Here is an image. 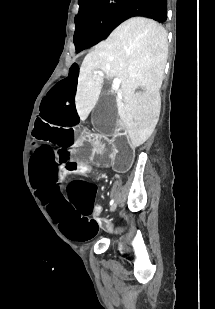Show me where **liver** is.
<instances>
[{
  "mask_svg": "<svg viewBox=\"0 0 215 309\" xmlns=\"http://www.w3.org/2000/svg\"><path fill=\"white\" fill-rule=\"evenodd\" d=\"M167 52V32L156 20L132 16L119 24L86 54L80 66L75 104L81 120H86L99 98L101 76L94 70H102L106 76L121 80L116 102L131 148L143 144L160 114L154 98L161 88ZM139 86L151 94L149 106H144L142 92H135Z\"/></svg>",
  "mask_w": 215,
  "mask_h": 309,
  "instance_id": "liver-1",
  "label": "liver"
}]
</instances>
